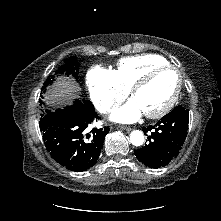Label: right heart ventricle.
<instances>
[{"mask_svg":"<svg viewBox=\"0 0 221 221\" xmlns=\"http://www.w3.org/2000/svg\"><path fill=\"white\" fill-rule=\"evenodd\" d=\"M166 64L168 61L160 55L143 54L120 59L113 71L121 85L129 91L150 68Z\"/></svg>","mask_w":221,"mask_h":221,"instance_id":"1","label":"right heart ventricle"}]
</instances>
